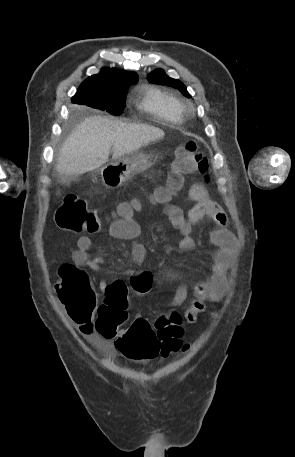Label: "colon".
I'll return each mask as SVG.
<instances>
[{"label": "colon", "mask_w": 295, "mask_h": 457, "mask_svg": "<svg viewBox=\"0 0 295 457\" xmlns=\"http://www.w3.org/2000/svg\"><path fill=\"white\" fill-rule=\"evenodd\" d=\"M208 161L198 151L195 141L179 146L167 178V187L159 189L156 199L165 202L171 192L182 188L184 176L201 172L207 178ZM140 207L138 202L118 206L119 216L133 213ZM56 222L62 229L72 232H97L101 227L100 217L86 200L80 196L67 195L56 212ZM131 289L137 294H147L154 287L153 278L147 273H137L130 280ZM60 302L68 315L82 322L93 321L95 330L106 339L115 338V347L121 359L156 360L179 350H191V341H182L183 315L172 312L160 316L151 325L146 319H136L130 327L123 328L128 305L127 288L124 283H114L106 290L105 302L96 306V296L90 279L73 264L61 267L59 279L55 283Z\"/></svg>", "instance_id": "1"}]
</instances>
